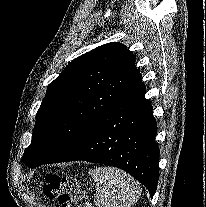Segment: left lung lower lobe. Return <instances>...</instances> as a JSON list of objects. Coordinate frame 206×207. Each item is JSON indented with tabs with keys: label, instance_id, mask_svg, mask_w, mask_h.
<instances>
[{
	"label": "left lung lower lobe",
	"instance_id": "left-lung-lower-lobe-1",
	"mask_svg": "<svg viewBox=\"0 0 206 207\" xmlns=\"http://www.w3.org/2000/svg\"><path fill=\"white\" fill-rule=\"evenodd\" d=\"M144 94L139 76L99 118L84 143L59 162L83 160L121 168L153 197L159 177L157 124Z\"/></svg>",
	"mask_w": 206,
	"mask_h": 207
}]
</instances>
